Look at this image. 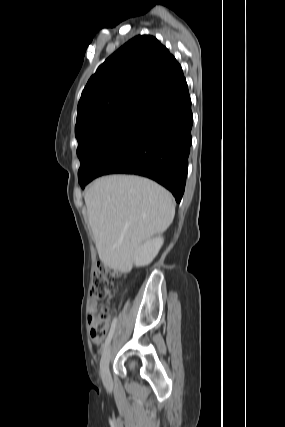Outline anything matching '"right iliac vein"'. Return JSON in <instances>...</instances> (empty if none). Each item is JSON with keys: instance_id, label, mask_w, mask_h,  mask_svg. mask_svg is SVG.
<instances>
[{"instance_id": "right-iliac-vein-1", "label": "right iliac vein", "mask_w": 285, "mask_h": 427, "mask_svg": "<svg viewBox=\"0 0 285 427\" xmlns=\"http://www.w3.org/2000/svg\"><path fill=\"white\" fill-rule=\"evenodd\" d=\"M110 352H111V347L110 346L106 347L100 361V373H101L102 380L105 383L110 382V372H109Z\"/></svg>"}]
</instances>
